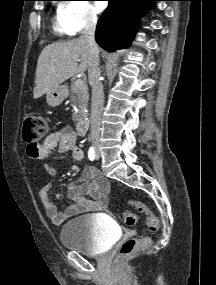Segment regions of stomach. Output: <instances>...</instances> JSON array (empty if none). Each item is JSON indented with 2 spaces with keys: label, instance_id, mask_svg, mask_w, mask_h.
Here are the masks:
<instances>
[{
  "label": "stomach",
  "instance_id": "obj_1",
  "mask_svg": "<svg viewBox=\"0 0 216 285\" xmlns=\"http://www.w3.org/2000/svg\"><path fill=\"white\" fill-rule=\"evenodd\" d=\"M67 96V89L59 86L46 94V100L49 106L55 107L60 105Z\"/></svg>",
  "mask_w": 216,
  "mask_h": 285
}]
</instances>
